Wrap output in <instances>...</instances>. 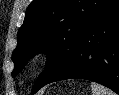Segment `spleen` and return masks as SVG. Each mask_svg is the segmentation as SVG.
Instances as JSON below:
<instances>
[{
    "label": "spleen",
    "instance_id": "1",
    "mask_svg": "<svg viewBox=\"0 0 119 95\" xmlns=\"http://www.w3.org/2000/svg\"><path fill=\"white\" fill-rule=\"evenodd\" d=\"M91 89L93 95H116L113 91L96 82L91 83Z\"/></svg>",
    "mask_w": 119,
    "mask_h": 95
}]
</instances>
